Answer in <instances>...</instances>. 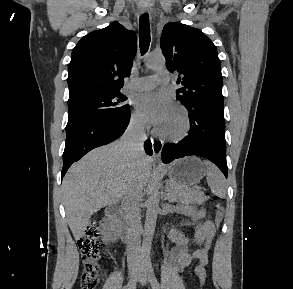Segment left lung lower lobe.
Listing matches in <instances>:
<instances>
[{
  "mask_svg": "<svg viewBox=\"0 0 293 289\" xmlns=\"http://www.w3.org/2000/svg\"><path fill=\"white\" fill-rule=\"evenodd\" d=\"M189 111L190 131L177 144L162 149L164 163L197 155L213 162L227 178L225 121L223 108L204 103L194 104Z\"/></svg>",
  "mask_w": 293,
  "mask_h": 289,
  "instance_id": "1",
  "label": "left lung lower lobe"
}]
</instances>
